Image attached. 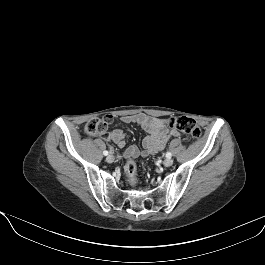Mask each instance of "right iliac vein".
Instances as JSON below:
<instances>
[{
  "instance_id": "1",
  "label": "right iliac vein",
  "mask_w": 265,
  "mask_h": 265,
  "mask_svg": "<svg viewBox=\"0 0 265 265\" xmlns=\"http://www.w3.org/2000/svg\"><path fill=\"white\" fill-rule=\"evenodd\" d=\"M106 161H107L108 163H112V162L114 161V156H113V155H108V156L106 157Z\"/></svg>"
}]
</instances>
